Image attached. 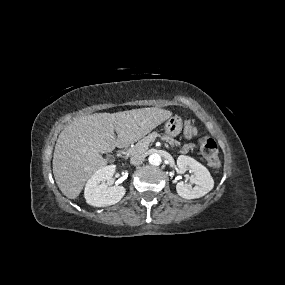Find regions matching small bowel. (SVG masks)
Returning a JSON list of instances; mask_svg holds the SVG:
<instances>
[{"label": "small bowel", "instance_id": "c3829d8e", "mask_svg": "<svg viewBox=\"0 0 285 285\" xmlns=\"http://www.w3.org/2000/svg\"><path fill=\"white\" fill-rule=\"evenodd\" d=\"M192 148H193V145L189 144V145H186V146L183 147V151L186 152V151H188V150H190Z\"/></svg>", "mask_w": 285, "mask_h": 285}]
</instances>
